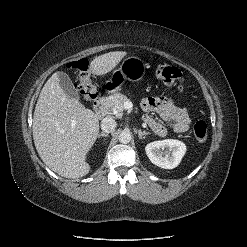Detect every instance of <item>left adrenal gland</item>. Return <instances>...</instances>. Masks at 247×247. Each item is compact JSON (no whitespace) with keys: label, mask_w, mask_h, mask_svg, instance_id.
<instances>
[{"label":"left adrenal gland","mask_w":247,"mask_h":247,"mask_svg":"<svg viewBox=\"0 0 247 247\" xmlns=\"http://www.w3.org/2000/svg\"><path fill=\"white\" fill-rule=\"evenodd\" d=\"M137 132H138L139 139H142L143 136L150 134L149 132H145V131H141V130H137Z\"/></svg>","instance_id":"1"}]
</instances>
